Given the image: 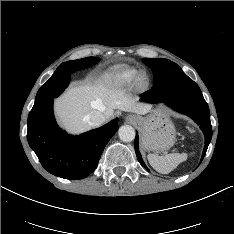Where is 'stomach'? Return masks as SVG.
Wrapping results in <instances>:
<instances>
[{"label":"stomach","instance_id":"0dacf381","mask_svg":"<svg viewBox=\"0 0 234 234\" xmlns=\"http://www.w3.org/2000/svg\"><path fill=\"white\" fill-rule=\"evenodd\" d=\"M142 128L141 146L146 151H166L175 144L176 129L168 114L161 109L151 111L146 117H139Z\"/></svg>","mask_w":234,"mask_h":234}]
</instances>
